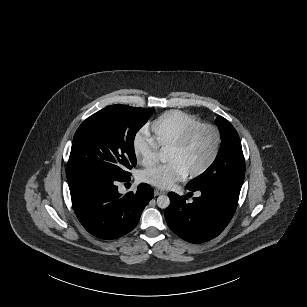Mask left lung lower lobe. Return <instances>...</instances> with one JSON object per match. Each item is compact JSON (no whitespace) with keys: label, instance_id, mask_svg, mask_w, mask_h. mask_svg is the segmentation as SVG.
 <instances>
[{"label":"left lung lower lobe","instance_id":"1","mask_svg":"<svg viewBox=\"0 0 307 307\" xmlns=\"http://www.w3.org/2000/svg\"><path fill=\"white\" fill-rule=\"evenodd\" d=\"M198 191L202 194L193 198L192 203L170 192V205L165 210L169 228L191 243H203L218 236L232 219L239 198V194L221 188Z\"/></svg>","mask_w":307,"mask_h":307}]
</instances>
